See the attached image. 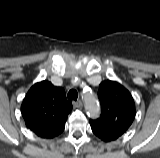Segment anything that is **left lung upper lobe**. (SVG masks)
I'll return each mask as SVG.
<instances>
[{
    "mask_svg": "<svg viewBox=\"0 0 160 158\" xmlns=\"http://www.w3.org/2000/svg\"><path fill=\"white\" fill-rule=\"evenodd\" d=\"M98 97L101 115L93 123L118 136L131 126L135 115V103L130 92L115 81H103L99 85Z\"/></svg>",
    "mask_w": 160,
    "mask_h": 158,
    "instance_id": "5c2ea615",
    "label": "left lung upper lobe"
}]
</instances>
